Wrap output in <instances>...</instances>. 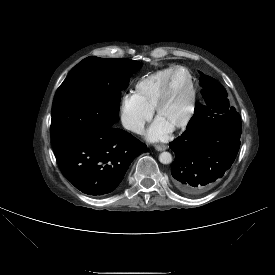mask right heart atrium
<instances>
[{
    "mask_svg": "<svg viewBox=\"0 0 275 275\" xmlns=\"http://www.w3.org/2000/svg\"><path fill=\"white\" fill-rule=\"evenodd\" d=\"M153 110L142 105L134 94H126L119 104V118L122 126L133 133L141 134L150 121Z\"/></svg>",
    "mask_w": 275,
    "mask_h": 275,
    "instance_id": "obj_1",
    "label": "right heart atrium"
}]
</instances>
